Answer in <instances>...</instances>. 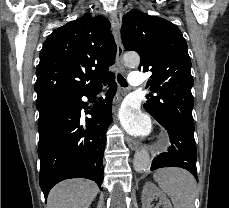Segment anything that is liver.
Listing matches in <instances>:
<instances>
[{
    "instance_id": "1",
    "label": "liver",
    "mask_w": 229,
    "mask_h": 208,
    "mask_svg": "<svg viewBox=\"0 0 229 208\" xmlns=\"http://www.w3.org/2000/svg\"><path fill=\"white\" fill-rule=\"evenodd\" d=\"M98 192L91 180H65L49 192L47 208H89Z\"/></svg>"
}]
</instances>
